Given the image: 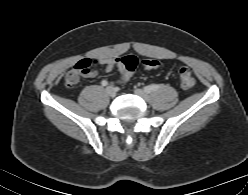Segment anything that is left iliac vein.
Instances as JSON below:
<instances>
[{
  "instance_id": "obj_1",
  "label": "left iliac vein",
  "mask_w": 248,
  "mask_h": 195,
  "mask_svg": "<svg viewBox=\"0 0 248 195\" xmlns=\"http://www.w3.org/2000/svg\"><path fill=\"white\" fill-rule=\"evenodd\" d=\"M134 93L137 96L141 97L144 101H149V99H150L149 94L146 91L142 90V89H136L134 91Z\"/></svg>"
}]
</instances>
